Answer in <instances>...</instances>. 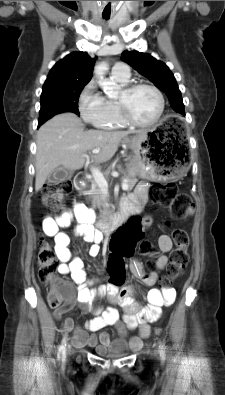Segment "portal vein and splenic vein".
Returning <instances> with one entry per match:
<instances>
[{
  "mask_svg": "<svg viewBox=\"0 0 225 395\" xmlns=\"http://www.w3.org/2000/svg\"><path fill=\"white\" fill-rule=\"evenodd\" d=\"M99 152H100L99 148L92 150L93 154H97ZM91 173H92L94 180L96 181L98 186L101 188V190L107 191L108 190V183H107L106 179L104 178V175L97 168H94V167L91 168ZM121 187L123 190H127L129 186L126 182H123L121 184Z\"/></svg>",
  "mask_w": 225,
  "mask_h": 395,
  "instance_id": "portal-vein-and-splenic-vein-1",
  "label": "portal vein and splenic vein"
}]
</instances>
